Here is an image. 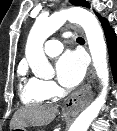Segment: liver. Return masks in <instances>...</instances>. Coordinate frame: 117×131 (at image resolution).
Listing matches in <instances>:
<instances>
[{
    "instance_id": "1",
    "label": "liver",
    "mask_w": 117,
    "mask_h": 131,
    "mask_svg": "<svg viewBox=\"0 0 117 131\" xmlns=\"http://www.w3.org/2000/svg\"><path fill=\"white\" fill-rule=\"evenodd\" d=\"M58 106H30L18 110L10 123V129L50 124L57 113Z\"/></svg>"
}]
</instances>
